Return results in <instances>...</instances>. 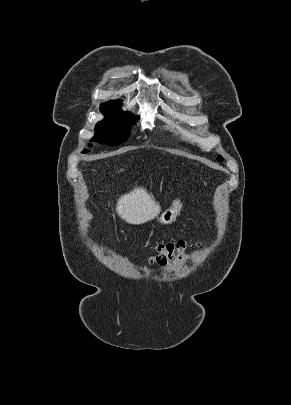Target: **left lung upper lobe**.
Listing matches in <instances>:
<instances>
[{
	"mask_svg": "<svg viewBox=\"0 0 291 405\" xmlns=\"http://www.w3.org/2000/svg\"><path fill=\"white\" fill-rule=\"evenodd\" d=\"M218 160H220V161H221V160H223V158H222L221 156H218Z\"/></svg>",
	"mask_w": 291,
	"mask_h": 405,
	"instance_id": "1",
	"label": "left lung upper lobe"
}]
</instances>
